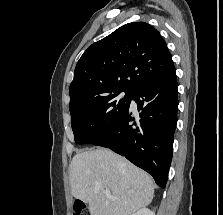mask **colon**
Masks as SVG:
<instances>
[{"label":"colon","instance_id":"colon-1","mask_svg":"<svg viewBox=\"0 0 223 215\" xmlns=\"http://www.w3.org/2000/svg\"><path fill=\"white\" fill-rule=\"evenodd\" d=\"M72 215H90L88 208L80 202H75L73 204V214Z\"/></svg>","mask_w":223,"mask_h":215}]
</instances>
